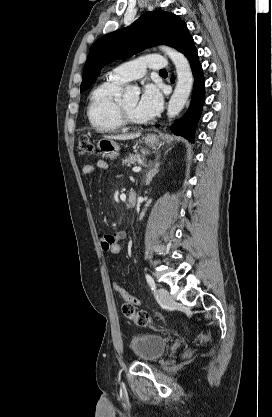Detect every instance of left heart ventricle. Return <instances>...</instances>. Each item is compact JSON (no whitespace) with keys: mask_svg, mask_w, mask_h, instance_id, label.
Returning a JSON list of instances; mask_svg holds the SVG:
<instances>
[{"mask_svg":"<svg viewBox=\"0 0 272 417\" xmlns=\"http://www.w3.org/2000/svg\"><path fill=\"white\" fill-rule=\"evenodd\" d=\"M137 100L133 99V100H128V101H124L122 102V105L124 107V109L129 113V115L137 120V121H144L143 118H141L137 113H136V107H137Z\"/></svg>","mask_w":272,"mask_h":417,"instance_id":"obj_1","label":"left heart ventricle"}]
</instances>
